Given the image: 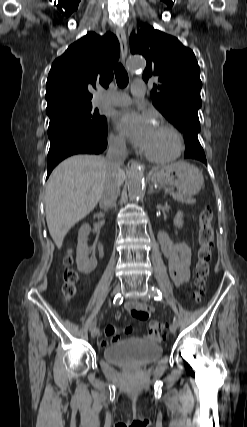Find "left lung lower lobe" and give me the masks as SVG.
Here are the masks:
<instances>
[{
    "instance_id": "left-lung-lower-lobe-1",
    "label": "left lung lower lobe",
    "mask_w": 247,
    "mask_h": 427,
    "mask_svg": "<svg viewBox=\"0 0 247 427\" xmlns=\"http://www.w3.org/2000/svg\"><path fill=\"white\" fill-rule=\"evenodd\" d=\"M183 135L186 139L185 158L199 160L207 165L204 150L199 143L198 136L190 132L183 133Z\"/></svg>"
}]
</instances>
